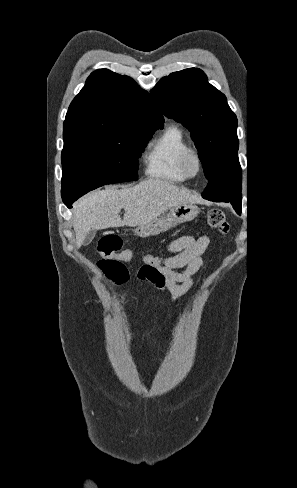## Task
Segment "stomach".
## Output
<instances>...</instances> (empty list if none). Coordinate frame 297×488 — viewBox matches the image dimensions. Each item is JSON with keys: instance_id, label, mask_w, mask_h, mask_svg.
I'll use <instances>...</instances> for the list:
<instances>
[{"instance_id": "1", "label": "stomach", "mask_w": 297, "mask_h": 488, "mask_svg": "<svg viewBox=\"0 0 297 488\" xmlns=\"http://www.w3.org/2000/svg\"><path fill=\"white\" fill-rule=\"evenodd\" d=\"M200 213L194 203L179 204L172 207L166 215L160 216L150 223L140 225L135 233L140 237H149L167 231L169 228L194 220Z\"/></svg>"}]
</instances>
